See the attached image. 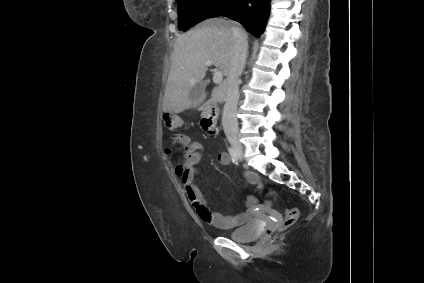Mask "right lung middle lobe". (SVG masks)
<instances>
[{"label": "right lung middle lobe", "instance_id": "obj_1", "mask_svg": "<svg viewBox=\"0 0 424 283\" xmlns=\"http://www.w3.org/2000/svg\"><path fill=\"white\" fill-rule=\"evenodd\" d=\"M235 0H177L178 29L185 32L197 23L222 15Z\"/></svg>", "mask_w": 424, "mask_h": 283}]
</instances>
